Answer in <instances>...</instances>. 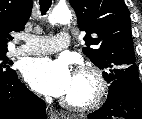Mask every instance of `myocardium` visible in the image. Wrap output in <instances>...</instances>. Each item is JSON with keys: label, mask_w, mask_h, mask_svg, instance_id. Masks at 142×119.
Wrapping results in <instances>:
<instances>
[{"label": "myocardium", "mask_w": 142, "mask_h": 119, "mask_svg": "<svg viewBox=\"0 0 142 119\" xmlns=\"http://www.w3.org/2000/svg\"><path fill=\"white\" fill-rule=\"evenodd\" d=\"M75 75L88 77L92 82V91L84 101H74L69 98H63L61 103L68 109L75 111H91L98 108L104 101L108 84L103 72L94 65H80L75 70Z\"/></svg>", "instance_id": "myocardium-1"}]
</instances>
